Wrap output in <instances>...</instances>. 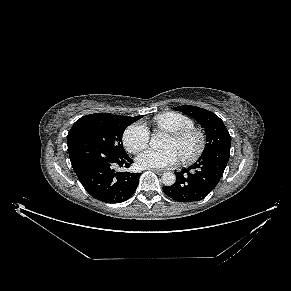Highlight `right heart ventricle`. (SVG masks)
Returning <instances> with one entry per match:
<instances>
[{
  "instance_id": "e07e8e85",
  "label": "right heart ventricle",
  "mask_w": 291,
  "mask_h": 291,
  "mask_svg": "<svg viewBox=\"0 0 291 291\" xmlns=\"http://www.w3.org/2000/svg\"><path fill=\"white\" fill-rule=\"evenodd\" d=\"M153 123L157 130L174 132L194 126V121L187 115L178 112H165L154 117Z\"/></svg>"
}]
</instances>
